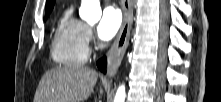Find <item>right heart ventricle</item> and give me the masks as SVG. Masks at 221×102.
Listing matches in <instances>:
<instances>
[{
  "label": "right heart ventricle",
  "mask_w": 221,
  "mask_h": 102,
  "mask_svg": "<svg viewBox=\"0 0 221 102\" xmlns=\"http://www.w3.org/2000/svg\"><path fill=\"white\" fill-rule=\"evenodd\" d=\"M86 25L73 15L71 7L59 17L52 35L51 56L59 65L75 67L83 65L89 55L85 39Z\"/></svg>",
  "instance_id": "right-heart-ventricle-1"
}]
</instances>
